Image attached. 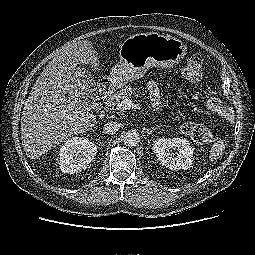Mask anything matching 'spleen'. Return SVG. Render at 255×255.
Here are the masks:
<instances>
[{"mask_svg":"<svg viewBox=\"0 0 255 255\" xmlns=\"http://www.w3.org/2000/svg\"><path fill=\"white\" fill-rule=\"evenodd\" d=\"M224 149L225 143L222 140L214 143L209 151V160L210 161L216 160L223 153Z\"/></svg>","mask_w":255,"mask_h":255,"instance_id":"spleen-1","label":"spleen"}]
</instances>
